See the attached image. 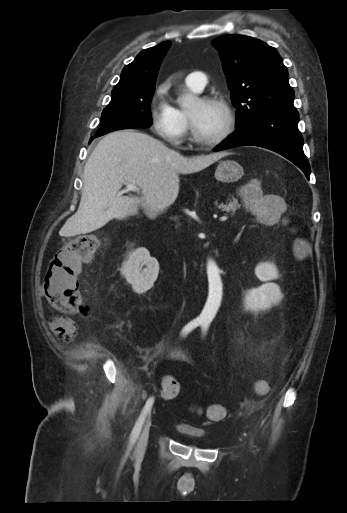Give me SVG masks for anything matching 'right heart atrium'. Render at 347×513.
<instances>
[{
    "label": "right heart atrium",
    "instance_id": "right-heart-atrium-1",
    "mask_svg": "<svg viewBox=\"0 0 347 513\" xmlns=\"http://www.w3.org/2000/svg\"><path fill=\"white\" fill-rule=\"evenodd\" d=\"M151 126L156 135L174 147H180L186 137L189 125L186 116L166 100V85H160L151 101Z\"/></svg>",
    "mask_w": 347,
    "mask_h": 513
}]
</instances>
